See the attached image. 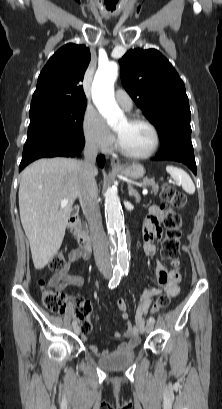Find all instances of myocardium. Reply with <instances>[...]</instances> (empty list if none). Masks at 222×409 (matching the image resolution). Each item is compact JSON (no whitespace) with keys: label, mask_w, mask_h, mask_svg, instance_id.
Listing matches in <instances>:
<instances>
[{"label":"myocardium","mask_w":222,"mask_h":409,"mask_svg":"<svg viewBox=\"0 0 222 409\" xmlns=\"http://www.w3.org/2000/svg\"><path fill=\"white\" fill-rule=\"evenodd\" d=\"M128 122L130 123H142L145 124L146 126H148L154 136V141H153V145L152 147L145 153L142 154H135V153H131L129 151H127L125 148L122 147V145L120 144L118 138L116 137L115 140V144H116V149L118 150L119 153H121L123 156L130 158V159H146L151 157L159 148L160 145V134L159 131L157 129V127L155 126V124L153 122H151L150 120L141 117V116H137V115H133V116H129L127 118Z\"/></svg>","instance_id":"myocardium-1"}]
</instances>
